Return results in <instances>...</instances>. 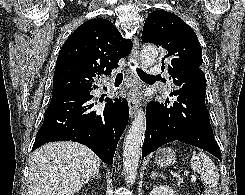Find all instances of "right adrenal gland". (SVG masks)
<instances>
[{
    "label": "right adrenal gland",
    "instance_id": "obj_1",
    "mask_svg": "<svg viewBox=\"0 0 245 195\" xmlns=\"http://www.w3.org/2000/svg\"><path fill=\"white\" fill-rule=\"evenodd\" d=\"M95 178L100 179V174H99V172H97L94 176H92L91 180H92V179H95Z\"/></svg>",
    "mask_w": 245,
    "mask_h": 195
}]
</instances>
